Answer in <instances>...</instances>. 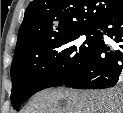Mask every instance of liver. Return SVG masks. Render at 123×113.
Wrapping results in <instances>:
<instances>
[{"label":"liver","instance_id":"liver-1","mask_svg":"<svg viewBox=\"0 0 123 113\" xmlns=\"http://www.w3.org/2000/svg\"><path fill=\"white\" fill-rule=\"evenodd\" d=\"M25 113H123V90L46 89L33 96Z\"/></svg>","mask_w":123,"mask_h":113}]
</instances>
